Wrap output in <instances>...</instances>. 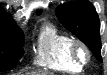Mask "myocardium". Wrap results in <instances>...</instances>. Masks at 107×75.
I'll return each instance as SVG.
<instances>
[{"instance_id": "obj_1", "label": "myocardium", "mask_w": 107, "mask_h": 75, "mask_svg": "<svg viewBox=\"0 0 107 75\" xmlns=\"http://www.w3.org/2000/svg\"><path fill=\"white\" fill-rule=\"evenodd\" d=\"M71 56L73 60L81 66L89 63L91 53L89 48L81 41L74 40L71 45Z\"/></svg>"}]
</instances>
